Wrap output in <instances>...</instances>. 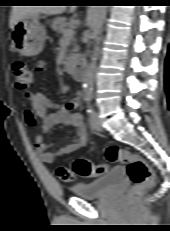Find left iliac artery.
Listing matches in <instances>:
<instances>
[{"label": "left iliac artery", "mask_w": 170, "mask_h": 231, "mask_svg": "<svg viewBox=\"0 0 170 231\" xmlns=\"http://www.w3.org/2000/svg\"><path fill=\"white\" fill-rule=\"evenodd\" d=\"M91 99H92V90L89 89V90L86 91L85 96H84V100L86 101V103L88 105L87 106L88 107V110H87L88 113L92 112L91 106H90Z\"/></svg>", "instance_id": "44dca946"}]
</instances>
